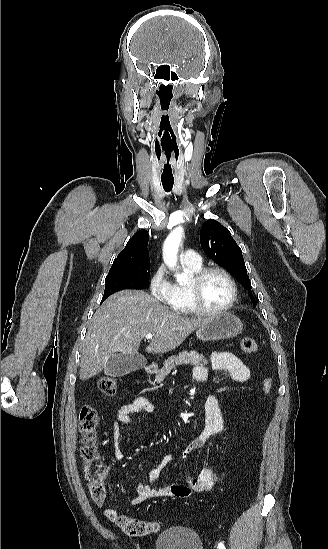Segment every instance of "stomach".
Segmentation results:
<instances>
[{"instance_id": "obj_1", "label": "stomach", "mask_w": 328, "mask_h": 549, "mask_svg": "<svg viewBox=\"0 0 328 549\" xmlns=\"http://www.w3.org/2000/svg\"><path fill=\"white\" fill-rule=\"evenodd\" d=\"M244 325L236 315L220 311L217 315L207 317L206 323L196 331L199 341H220V339H232L240 335Z\"/></svg>"}]
</instances>
